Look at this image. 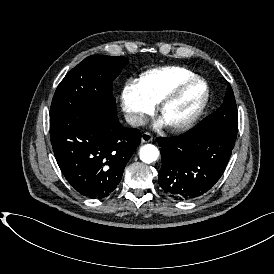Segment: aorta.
I'll return each instance as SVG.
<instances>
[{
  "instance_id": "obj_1",
  "label": "aorta",
  "mask_w": 274,
  "mask_h": 274,
  "mask_svg": "<svg viewBox=\"0 0 274 274\" xmlns=\"http://www.w3.org/2000/svg\"><path fill=\"white\" fill-rule=\"evenodd\" d=\"M140 159L144 163H152L156 161L160 155L158 148L152 144H145L140 148Z\"/></svg>"
}]
</instances>
